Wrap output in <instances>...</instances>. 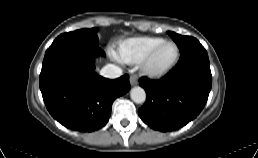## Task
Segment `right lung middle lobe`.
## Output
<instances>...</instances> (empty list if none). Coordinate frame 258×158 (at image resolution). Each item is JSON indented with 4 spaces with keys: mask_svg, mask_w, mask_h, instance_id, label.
I'll return each mask as SVG.
<instances>
[{
    "mask_svg": "<svg viewBox=\"0 0 258 158\" xmlns=\"http://www.w3.org/2000/svg\"><path fill=\"white\" fill-rule=\"evenodd\" d=\"M97 28L80 29L74 32L63 33L59 35L52 43V45L63 43H81L98 45V37L96 35Z\"/></svg>",
    "mask_w": 258,
    "mask_h": 158,
    "instance_id": "1",
    "label": "right lung middle lobe"
}]
</instances>
